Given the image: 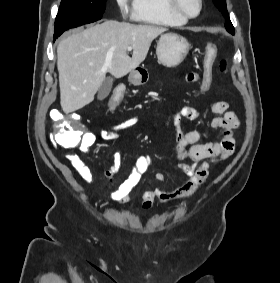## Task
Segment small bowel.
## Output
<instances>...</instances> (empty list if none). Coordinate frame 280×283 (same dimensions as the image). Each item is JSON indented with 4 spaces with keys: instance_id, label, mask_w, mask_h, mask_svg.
I'll use <instances>...</instances> for the list:
<instances>
[{
    "instance_id": "small-bowel-1",
    "label": "small bowel",
    "mask_w": 280,
    "mask_h": 283,
    "mask_svg": "<svg viewBox=\"0 0 280 283\" xmlns=\"http://www.w3.org/2000/svg\"><path fill=\"white\" fill-rule=\"evenodd\" d=\"M189 79H194L193 75ZM211 113L217 115L211 121V126L220 130V136L215 142L199 143L203 137V133L198 130L185 132L181 127V120L186 118L196 120L199 114L190 107L169 115L164 122H158V126H162L168 121L176 124V143L175 156L177 158V167L187 176V180L175 187L167 190L162 188L146 189L142 194L141 208L143 210L151 209L155 203L164 204L174 199H184L194 194L207 180L209 169L211 166L229 158L235 149L234 130L239 127L237 115L228 110V104L225 102H215L210 106ZM139 121V117H130L114 127L100 132V137L104 140H112L118 134L133 126ZM96 135L91 132H82L79 150L81 153H87L91 146L96 142ZM118 153L115 154L114 164L105 171V177L112 182V177L119 170ZM72 168L87 183L94 181L91 169L77 155L69 154L67 157ZM185 160H192L193 164H186ZM151 163L149 155H140L137 157L131 168L128 177L118 186V188L110 194V198L118 203L126 204L131 199V193L140 181L142 175L146 172ZM157 181H167L164 173H156Z\"/></svg>"
}]
</instances>
